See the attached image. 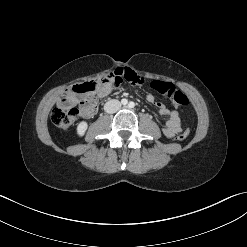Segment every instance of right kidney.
Returning <instances> with one entry per match:
<instances>
[{"mask_svg": "<svg viewBox=\"0 0 247 247\" xmlns=\"http://www.w3.org/2000/svg\"><path fill=\"white\" fill-rule=\"evenodd\" d=\"M87 127H88L87 122H85V121L80 122L77 126L78 136L82 137L85 134Z\"/></svg>", "mask_w": 247, "mask_h": 247, "instance_id": "obj_1", "label": "right kidney"}]
</instances>
